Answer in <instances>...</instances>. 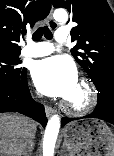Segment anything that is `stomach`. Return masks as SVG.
I'll return each mask as SVG.
<instances>
[{
	"mask_svg": "<svg viewBox=\"0 0 114 156\" xmlns=\"http://www.w3.org/2000/svg\"><path fill=\"white\" fill-rule=\"evenodd\" d=\"M63 135L69 156H112L114 153V134L104 121H73L64 127Z\"/></svg>",
	"mask_w": 114,
	"mask_h": 156,
	"instance_id": "obj_1",
	"label": "stomach"
}]
</instances>
